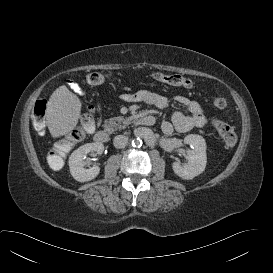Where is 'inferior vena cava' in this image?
Listing matches in <instances>:
<instances>
[{"instance_id":"1","label":"inferior vena cava","mask_w":273,"mask_h":273,"mask_svg":"<svg viewBox=\"0 0 273 273\" xmlns=\"http://www.w3.org/2000/svg\"><path fill=\"white\" fill-rule=\"evenodd\" d=\"M128 143V138L125 135H117L113 139V144L116 148H124Z\"/></svg>"}]
</instances>
